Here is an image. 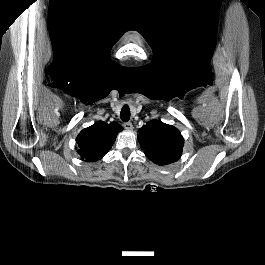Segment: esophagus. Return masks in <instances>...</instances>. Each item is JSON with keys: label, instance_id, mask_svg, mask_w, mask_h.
Wrapping results in <instances>:
<instances>
[{"label": "esophagus", "instance_id": "esophagus-1", "mask_svg": "<svg viewBox=\"0 0 265 265\" xmlns=\"http://www.w3.org/2000/svg\"><path fill=\"white\" fill-rule=\"evenodd\" d=\"M123 126L128 131H131L133 129V125L131 122H125Z\"/></svg>", "mask_w": 265, "mask_h": 265}]
</instances>
